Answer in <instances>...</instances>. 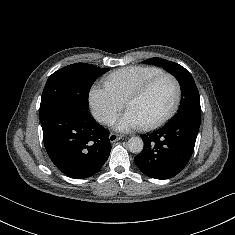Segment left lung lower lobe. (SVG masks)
<instances>
[{
	"mask_svg": "<svg viewBox=\"0 0 235 235\" xmlns=\"http://www.w3.org/2000/svg\"><path fill=\"white\" fill-rule=\"evenodd\" d=\"M200 119L185 116L141 136L144 148L134 158L141 172L151 178L169 179L182 171L193 153Z\"/></svg>",
	"mask_w": 235,
	"mask_h": 235,
	"instance_id": "obj_1",
	"label": "left lung lower lobe"
}]
</instances>
